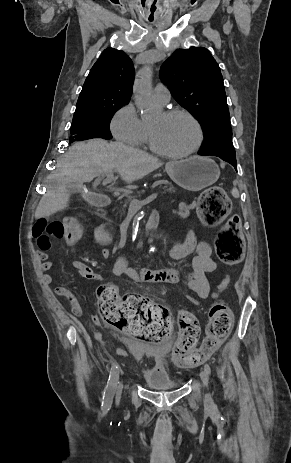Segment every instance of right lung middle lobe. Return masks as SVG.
Segmentation results:
<instances>
[{"instance_id":"1","label":"right lung middle lobe","mask_w":291,"mask_h":463,"mask_svg":"<svg viewBox=\"0 0 291 463\" xmlns=\"http://www.w3.org/2000/svg\"><path fill=\"white\" fill-rule=\"evenodd\" d=\"M126 102L106 101L97 110L74 115L71 125L70 142L92 138L111 139L110 121L114 113Z\"/></svg>"}]
</instances>
